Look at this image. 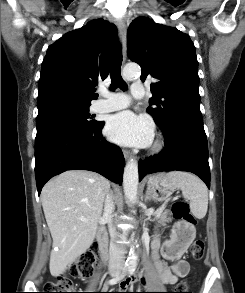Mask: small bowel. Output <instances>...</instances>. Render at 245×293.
<instances>
[{
  "mask_svg": "<svg viewBox=\"0 0 245 293\" xmlns=\"http://www.w3.org/2000/svg\"><path fill=\"white\" fill-rule=\"evenodd\" d=\"M152 257L155 267L165 285H174L179 278L185 277L189 272V263L186 260L180 258L182 250L173 244V240L166 239L161 244L158 237H154L151 243ZM161 257L171 261V265H165ZM131 278L126 279L121 283L122 289H127L130 285Z\"/></svg>",
  "mask_w": 245,
  "mask_h": 293,
  "instance_id": "obj_1",
  "label": "small bowel"
}]
</instances>
